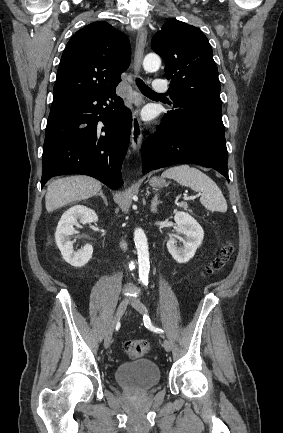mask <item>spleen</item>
<instances>
[{"label":"spleen","instance_id":"spleen-1","mask_svg":"<svg viewBox=\"0 0 283 433\" xmlns=\"http://www.w3.org/2000/svg\"><path fill=\"white\" fill-rule=\"evenodd\" d=\"M163 178H174L179 184L190 186L192 190L200 192V200L207 210H219L226 212L227 202L222 194V190L218 188L216 182L209 178L207 174L189 166V164H180V166H172L162 172Z\"/></svg>","mask_w":283,"mask_h":433}]
</instances>
